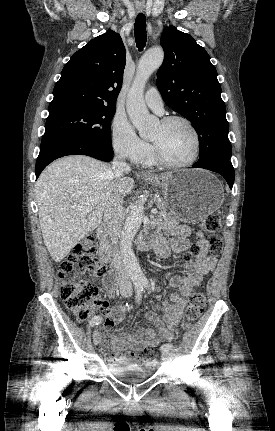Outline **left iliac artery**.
<instances>
[{
    "instance_id": "obj_1",
    "label": "left iliac artery",
    "mask_w": 275,
    "mask_h": 431,
    "mask_svg": "<svg viewBox=\"0 0 275 431\" xmlns=\"http://www.w3.org/2000/svg\"><path fill=\"white\" fill-rule=\"evenodd\" d=\"M143 285H144V286H148V285H149L148 281H147V280H145V281L143 282ZM165 350H174V347H173V345H172L171 343H166V344H164V345L161 347V351H165Z\"/></svg>"
}]
</instances>
